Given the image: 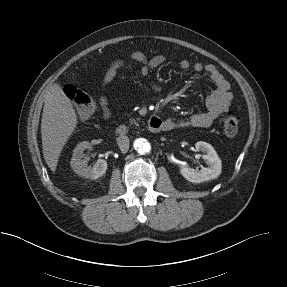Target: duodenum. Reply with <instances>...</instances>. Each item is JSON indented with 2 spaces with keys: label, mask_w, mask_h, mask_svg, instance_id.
Here are the masks:
<instances>
[{
  "label": "duodenum",
  "mask_w": 287,
  "mask_h": 287,
  "mask_svg": "<svg viewBox=\"0 0 287 287\" xmlns=\"http://www.w3.org/2000/svg\"><path fill=\"white\" fill-rule=\"evenodd\" d=\"M163 122L158 116H153L149 119L148 128L153 133H158L163 130ZM130 131V128L125 124H120L116 127L117 135H125Z\"/></svg>",
  "instance_id": "1"
}]
</instances>
